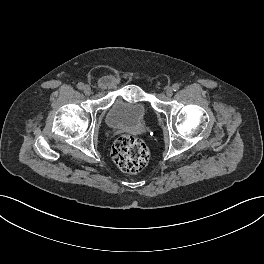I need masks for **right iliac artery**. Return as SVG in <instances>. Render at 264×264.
Segmentation results:
<instances>
[{
  "label": "right iliac artery",
  "mask_w": 264,
  "mask_h": 264,
  "mask_svg": "<svg viewBox=\"0 0 264 264\" xmlns=\"http://www.w3.org/2000/svg\"><path fill=\"white\" fill-rule=\"evenodd\" d=\"M77 88L80 89V90H82V89L84 88V84L81 83V82L78 83V84H77Z\"/></svg>",
  "instance_id": "obj_1"
}]
</instances>
